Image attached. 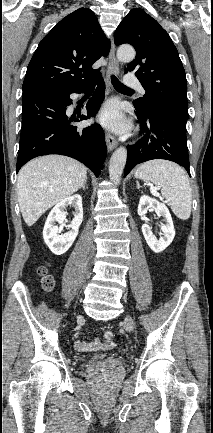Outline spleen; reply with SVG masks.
Returning <instances> with one entry per match:
<instances>
[{
    "label": "spleen",
    "mask_w": 213,
    "mask_h": 433,
    "mask_svg": "<svg viewBox=\"0 0 213 433\" xmlns=\"http://www.w3.org/2000/svg\"><path fill=\"white\" fill-rule=\"evenodd\" d=\"M135 177L159 186L162 196L179 219L190 217L192 192L186 172L180 166L170 161L151 160L139 166Z\"/></svg>",
    "instance_id": "obj_1"
}]
</instances>
